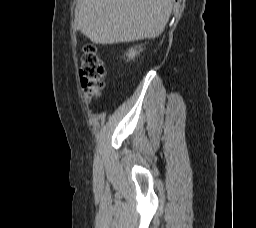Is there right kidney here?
<instances>
[{"label":"right kidney","instance_id":"ca27d5eb","mask_svg":"<svg viewBox=\"0 0 256 228\" xmlns=\"http://www.w3.org/2000/svg\"><path fill=\"white\" fill-rule=\"evenodd\" d=\"M139 52L136 49H130L129 53H127L128 58H134Z\"/></svg>","mask_w":256,"mask_h":228}]
</instances>
